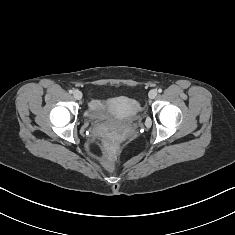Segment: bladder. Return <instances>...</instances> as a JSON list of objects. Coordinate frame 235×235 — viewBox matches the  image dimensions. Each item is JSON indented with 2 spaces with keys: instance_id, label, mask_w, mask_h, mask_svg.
<instances>
[{
  "instance_id": "31cf9c89",
  "label": "bladder",
  "mask_w": 235,
  "mask_h": 235,
  "mask_svg": "<svg viewBox=\"0 0 235 235\" xmlns=\"http://www.w3.org/2000/svg\"><path fill=\"white\" fill-rule=\"evenodd\" d=\"M126 103L129 107L128 114H122L118 111L117 105ZM139 113L136 112L135 102L128 98L107 99L100 98L91 101L86 109V116L90 120L108 121L113 123H122L127 119L134 118Z\"/></svg>"
}]
</instances>
